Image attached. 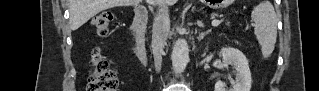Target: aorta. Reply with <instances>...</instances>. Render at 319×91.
<instances>
[{"label": "aorta", "instance_id": "762f6f07", "mask_svg": "<svg viewBox=\"0 0 319 91\" xmlns=\"http://www.w3.org/2000/svg\"><path fill=\"white\" fill-rule=\"evenodd\" d=\"M171 58L174 71L176 73L183 72L189 61V49L185 40L179 39L176 41Z\"/></svg>", "mask_w": 319, "mask_h": 91}]
</instances>
